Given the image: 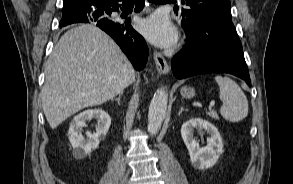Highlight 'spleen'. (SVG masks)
Listing matches in <instances>:
<instances>
[{
	"mask_svg": "<svg viewBox=\"0 0 293 184\" xmlns=\"http://www.w3.org/2000/svg\"><path fill=\"white\" fill-rule=\"evenodd\" d=\"M219 97L223 102L220 108L222 117L230 122H239L248 115V100L240 86L229 77L217 75Z\"/></svg>",
	"mask_w": 293,
	"mask_h": 184,
	"instance_id": "1",
	"label": "spleen"
}]
</instances>
